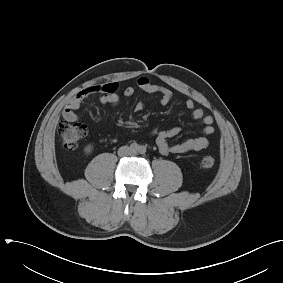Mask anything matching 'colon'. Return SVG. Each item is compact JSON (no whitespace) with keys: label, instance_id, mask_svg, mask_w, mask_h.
<instances>
[{"label":"colon","instance_id":"colon-1","mask_svg":"<svg viewBox=\"0 0 283 283\" xmlns=\"http://www.w3.org/2000/svg\"><path fill=\"white\" fill-rule=\"evenodd\" d=\"M86 132V126L80 122H61L58 127L62 144L68 150L75 149ZM200 165L202 168H212L215 165V159L210 155H205L202 157Z\"/></svg>","mask_w":283,"mask_h":283}]
</instances>
